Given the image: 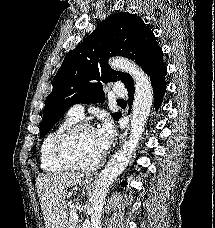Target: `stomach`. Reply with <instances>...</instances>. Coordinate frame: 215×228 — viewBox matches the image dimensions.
<instances>
[{"label": "stomach", "mask_w": 215, "mask_h": 228, "mask_svg": "<svg viewBox=\"0 0 215 228\" xmlns=\"http://www.w3.org/2000/svg\"><path fill=\"white\" fill-rule=\"evenodd\" d=\"M91 178H93V176H91V174H89V176H86V178H84V180H82L81 184H83V186H91V184H92Z\"/></svg>", "instance_id": "obj_1"}]
</instances>
